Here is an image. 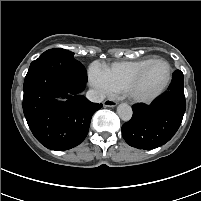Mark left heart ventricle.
<instances>
[{"mask_svg":"<svg viewBox=\"0 0 201 201\" xmlns=\"http://www.w3.org/2000/svg\"><path fill=\"white\" fill-rule=\"evenodd\" d=\"M168 73L167 65L163 62L153 63L143 74L136 86V92L148 95L156 91L166 80Z\"/></svg>","mask_w":201,"mask_h":201,"instance_id":"1","label":"left heart ventricle"}]
</instances>
